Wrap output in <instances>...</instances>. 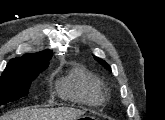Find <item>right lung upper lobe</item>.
I'll return each mask as SVG.
<instances>
[{
  "mask_svg": "<svg viewBox=\"0 0 165 120\" xmlns=\"http://www.w3.org/2000/svg\"><path fill=\"white\" fill-rule=\"evenodd\" d=\"M52 57V52L50 50H45L43 52L35 54H27L22 57H18L9 61L7 66H14L20 64H30V63H48Z\"/></svg>",
  "mask_w": 165,
  "mask_h": 120,
  "instance_id": "cb5924a9",
  "label": "right lung upper lobe"
}]
</instances>
